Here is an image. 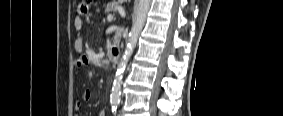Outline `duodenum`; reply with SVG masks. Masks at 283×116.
I'll return each instance as SVG.
<instances>
[{"mask_svg":"<svg viewBox=\"0 0 283 116\" xmlns=\"http://www.w3.org/2000/svg\"><path fill=\"white\" fill-rule=\"evenodd\" d=\"M120 49L116 45H109L108 47V58L110 61L115 62L119 59Z\"/></svg>","mask_w":283,"mask_h":116,"instance_id":"duodenum-1","label":"duodenum"}]
</instances>
